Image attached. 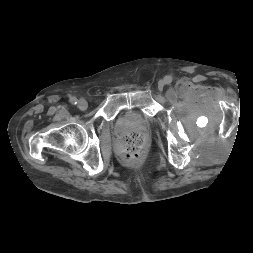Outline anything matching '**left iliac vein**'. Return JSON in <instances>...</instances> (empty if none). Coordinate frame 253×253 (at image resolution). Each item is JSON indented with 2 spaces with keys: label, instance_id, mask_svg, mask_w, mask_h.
<instances>
[{
  "label": "left iliac vein",
  "instance_id": "4c4485c4",
  "mask_svg": "<svg viewBox=\"0 0 253 253\" xmlns=\"http://www.w3.org/2000/svg\"><path fill=\"white\" fill-rule=\"evenodd\" d=\"M164 85H165L164 81H159V83H158V88H159L160 90H162L163 87H164Z\"/></svg>",
  "mask_w": 253,
  "mask_h": 253
}]
</instances>
